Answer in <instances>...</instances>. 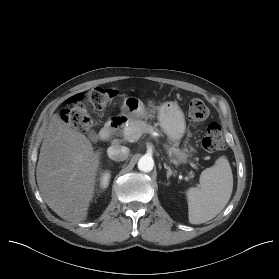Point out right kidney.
Instances as JSON below:
<instances>
[{"label": "right kidney", "instance_id": "right-kidney-1", "mask_svg": "<svg viewBox=\"0 0 279 279\" xmlns=\"http://www.w3.org/2000/svg\"><path fill=\"white\" fill-rule=\"evenodd\" d=\"M110 180V173L108 171L104 172L100 178V188H107Z\"/></svg>", "mask_w": 279, "mask_h": 279}]
</instances>
